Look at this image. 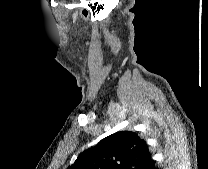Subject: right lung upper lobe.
<instances>
[{
    "instance_id": "1",
    "label": "right lung upper lobe",
    "mask_w": 208,
    "mask_h": 169,
    "mask_svg": "<svg viewBox=\"0 0 208 169\" xmlns=\"http://www.w3.org/2000/svg\"><path fill=\"white\" fill-rule=\"evenodd\" d=\"M148 145L132 131L116 132L83 151L67 169H146Z\"/></svg>"
}]
</instances>
